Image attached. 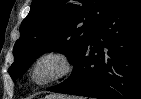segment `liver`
<instances>
[{"instance_id": "liver-1", "label": "liver", "mask_w": 141, "mask_h": 99, "mask_svg": "<svg viewBox=\"0 0 141 99\" xmlns=\"http://www.w3.org/2000/svg\"><path fill=\"white\" fill-rule=\"evenodd\" d=\"M47 99H65L62 95H51Z\"/></svg>"}]
</instances>
